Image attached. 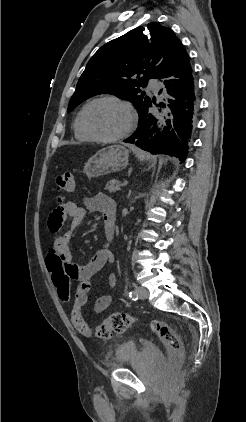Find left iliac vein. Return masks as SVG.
<instances>
[{
	"instance_id": "1",
	"label": "left iliac vein",
	"mask_w": 246,
	"mask_h": 422,
	"mask_svg": "<svg viewBox=\"0 0 246 422\" xmlns=\"http://www.w3.org/2000/svg\"><path fill=\"white\" fill-rule=\"evenodd\" d=\"M135 292L140 299H147L149 296L148 290L144 287H137Z\"/></svg>"
}]
</instances>
